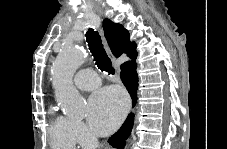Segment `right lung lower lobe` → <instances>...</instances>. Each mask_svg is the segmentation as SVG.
Here are the masks:
<instances>
[{
  "label": "right lung lower lobe",
  "instance_id": "98d812e1",
  "mask_svg": "<svg viewBox=\"0 0 227 149\" xmlns=\"http://www.w3.org/2000/svg\"><path fill=\"white\" fill-rule=\"evenodd\" d=\"M121 80L123 81L124 85L126 86L128 92L132 97V104L133 107L136 104L137 99V88H138V75L136 73V63L135 59L131 62H126L121 66ZM134 121V114L130 113L125 120L124 124L121 128L111 136L108 140L109 144L113 147L118 149H122L123 145L125 144V140L129 137Z\"/></svg>",
  "mask_w": 227,
  "mask_h": 149
}]
</instances>
